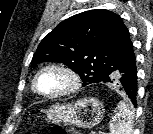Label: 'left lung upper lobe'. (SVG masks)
I'll return each mask as SVG.
<instances>
[{"label": "left lung upper lobe", "instance_id": "1", "mask_svg": "<svg viewBox=\"0 0 153 134\" xmlns=\"http://www.w3.org/2000/svg\"><path fill=\"white\" fill-rule=\"evenodd\" d=\"M132 56V42L121 17L95 9L62 21L46 35L34 53L32 65L62 62L79 74L85 86L110 77Z\"/></svg>", "mask_w": 153, "mask_h": 134}]
</instances>
